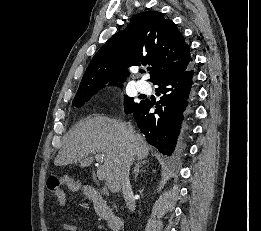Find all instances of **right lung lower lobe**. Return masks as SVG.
<instances>
[{
  "label": "right lung lower lobe",
  "mask_w": 261,
  "mask_h": 231,
  "mask_svg": "<svg viewBox=\"0 0 261 231\" xmlns=\"http://www.w3.org/2000/svg\"><path fill=\"white\" fill-rule=\"evenodd\" d=\"M194 82L192 66L179 74L162 78L153 83L158 86V95H162L155 113L149 112L153 104L148 100L141 101L127 113L133 114L147 142L162 154L170 156L175 150L180 129L185 125L188 99L193 93Z\"/></svg>",
  "instance_id": "1"
}]
</instances>
